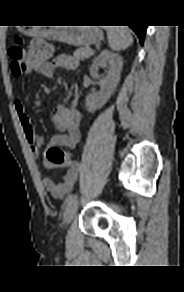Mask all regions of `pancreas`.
Here are the masks:
<instances>
[{
	"label": "pancreas",
	"mask_w": 184,
	"mask_h": 292,
	"mask_svg": "<svg viewBox=\"0 0 184 292\" xmlns=\"http://www.w3.org/2000/svg\"><path fill=\"white\" fill-rule=\"evenodd\" d=\"M91 48L89 46L79 47L73 54V57L76 61L84 60L90 57Z\"/></svg>",
	"instance_id": "1"
}]
</instances>
